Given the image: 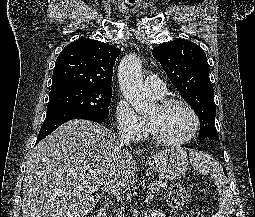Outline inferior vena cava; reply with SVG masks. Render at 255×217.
<instances>
[{"label": "inferior vena cava", "mask_w": 255, "mask_h": 217, "mask_svg": "<svg viewBox=\"0 0 255 217\" xmlns=\"http://www.w3.org/2000/svg\"><path fill=\"white\" fill-rule=\"evenodd\" d=\"M119 146L123 147L124 145H129L131 142V137L129 134L126 133H120L118 138Z\"/></svg>", "instance_id": "1"}]
</instances>
